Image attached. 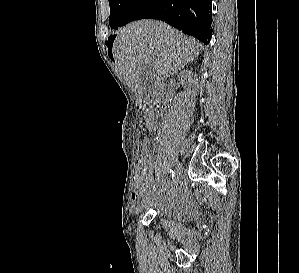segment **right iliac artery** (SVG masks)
I'll return each mask as SVG.
<instances>
[{"instance_id": "right-iliac-artery-1", "label": "right iliac artery", "mask_w": 299, "mask_h": 273, "mask_svg": "<svg viewBox=\"0 0 299 273\" xmlns=\"http://www.w3.org/2000/svg\"><path fill=\"white\" fill-rule=\"evenodd\" d=\"M173 176H174V170L170 169L168 179L171 180V178H173Z\"/></svg>"}]
</instances>
